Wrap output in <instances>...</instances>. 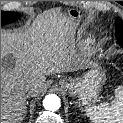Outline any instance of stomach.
Segmentation results:
<instances>
[{"mask_svg": "<svg viewBox=\"0 0 123 123\" xmlns=\"http://www.w3.org/2000/svg\"><path fill=\"white\" fill-rule=\"evenodd\" d=\"M68 15L75 20H79L82 14L77 10L68 11ZM105 81V74L96 65L93 64L87 72L80 78H64L58 83V86L67 94L77 96L82 105H88L97 99L101 85Z\"/></svg>", "mask_w": 123, "mask_h": 123, "instance_id": "0dacf381", "label": "stomach"}]
</instances>
